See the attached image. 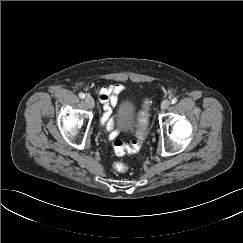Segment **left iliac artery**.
I'll return each instance as SVG.
<instances>
[{"label":"left iliac artery","mask_w":243,"mask_h":243,"mask_svg":"<svg viewBox=\"0 0 243 243\" xmlns=\"http://www.w3.org/2000/svg\"><path fill=\"white\" fill-rule=\"evenodd\" d=\"M177 102V98H173L172 100H171V103L172 104H175Z\"/></svg>","instance_id":"left-iliac-artery-1"}]
</instances>
